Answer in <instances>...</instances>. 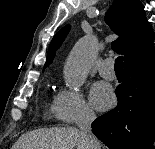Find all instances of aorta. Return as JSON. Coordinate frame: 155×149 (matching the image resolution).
Masks as SVG:
<instances>
[{"mask_svg": "<svg viewBox=\"0 0 155 149\" xmlns=\"http://www.w3.org/2000/svg\"><path fill=\"white\" fill-rule=\"evenodd\" d=\"M96 54L97 43L92 36L83 37L75 44L64 65L69 88L77 90L84 84Z\"/></svg>", "mask_w": 155, "mask_h": 149, "instance_id": "1", "label": "aorta"}]
</instances>
